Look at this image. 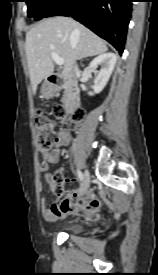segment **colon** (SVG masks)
I'll use <instances>...</instances> for the list:
<instances>
[{"label": "colon", "mask_w": 158, "mask_h": 275, "mask_svg": "<svg viewBox=\"0 0 158 275\" xmlns=\"http://www.w3.org/2000/svg\"><path fill=\"white\" fill-rule=\"evenodd\" d=\"M54 114L57 118L65 121L67 118L66 111L63 107L57 106L54 109ZM83 117V112L74 115L70 121L71 127H76V123ZM37 146L40 152L47 153L57 141L58 135L55 131V122L46 114L39 112L35 118ZM53 191L56 196L63 194V184L65 176L58 171L53 176Z\"/></svg>", "instance_id": "obj_1"}]
</instances>
